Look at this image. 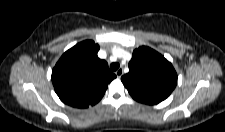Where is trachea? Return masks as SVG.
Returning a JSON list of instances; mask_svg holds the SVG:
<instances>
[{
	"instance_id": "1",
	"label": "trachea",
	"mask_w": 225,
	"mask_h": 132,
	"mask_svg": "<svg viewBox=\"0 0 225 132\" xmlns=\"http://www.w3.org/2000/svg\"><path fill=\"white\" fill-rule=\"evenodd\" d=\"M119 67H120V65H119V63H117V62L111 63V65H110V69H111L112 71L118 70Z\"/></svg>"
}]
</instances>
